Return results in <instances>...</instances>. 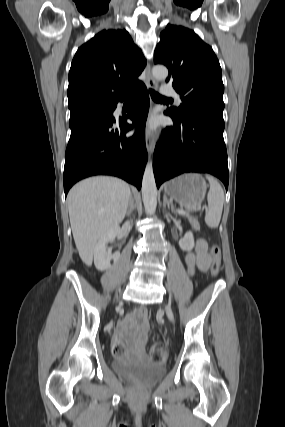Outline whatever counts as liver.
Segmentation results:
<instances>
[{"mask_svg":"<svg viewBox=\"0 0 285 427\" xmlns=\"http://www.w3.org/2000/svg\"><path fill=\"white\" fill-rule=\"evenodd\" d=\"M130 195L125 181L108 176L85 179L69 191L67 203L73 238L86 265L92 264L97 241L123 221Z\"/></svg>","mask_w":285,"mask_h":427,"instance_id":"obj_1","label":"liver"}]
</instances>
